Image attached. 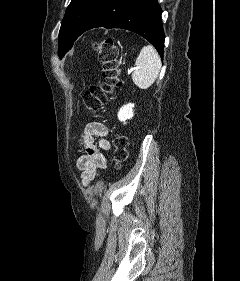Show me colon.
Listing matches in <instances>:
<instances>
[{"mask_svg": "<svg viewBox=\"0 0 240 281\" xmlns=\"http://www.w3.org/2000/svg\"><path fill=\"white\" fill-rule=\"evenodd\" d=\"M102 68V81L91 86L84 94L86 109L98 114L109 101L114 90L121 85L118 49L112 38H105L95 46ZM113 159L117 166L128 157V141L123 135H117L113 140Z\"/></svg>", "mask_w": 240, "mask_h": 281, "instance_id": "5ec220e1", "label": "colon"}]
</instances>
